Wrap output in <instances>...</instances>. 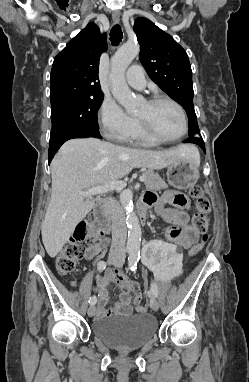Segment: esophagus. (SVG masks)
<instances>
[{"mask_svg": "<svg viewBox=\"0 0 249 382\" xmlns=\"http://www.w3.org/2000/svg\"><path fill=\"white\" fill-rule=\"evenodd\" d=\"M112 19L115 23L120 22V12L118 10L113 11L112 13Z\"/></svg>", "mask_w": 249, "mask_h": 382, "instance_id": "obj_1", "label": "esophagus"}]
</instances>
